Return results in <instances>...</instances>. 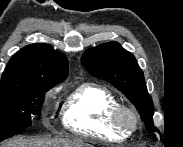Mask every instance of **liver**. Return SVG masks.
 Segmentation results:
<instances>
[{"instance_id": "liver-1", "label": "liver", "mask_w": 183, "mask_h": 147, "mask_svg": "<svg viewBox=\"0 0 183 147\" xmlns=\"http://www.w3.org/2000/svg\"><path fill=\"white\" fill-rule=\"evenodd\" d=\"M2 147H92L80 138H35V139H13L4 144Z\"/></svg>"}]
</instances>
